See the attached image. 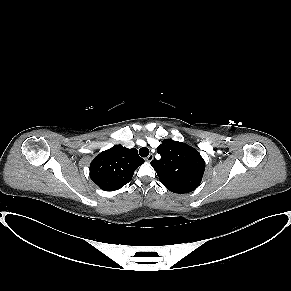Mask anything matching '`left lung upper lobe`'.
<instances>
[{"label": "left lung upper lobe", "instance_id": "1", "mask_svg": "<svg viewBox=\"0 0 291 291\" xmlns=\"http://www.w3.org/2000/svg\"><path fill=\"white\" fill-rule=\"evenodd\" d=\"M159 160H152L159 181L171 192L184 194L195 190L203 177L205 162L193 147L165 139L157 149Z\"/></svg>", "mask_w": 291, "mask_h": 291}]
</instances>
